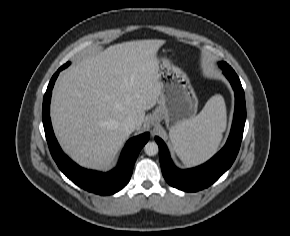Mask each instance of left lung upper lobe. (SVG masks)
<instances>
[{
  "label": "left lung upper lobe",
  "instance_id": "obj_1",
  "mask_svg": "<svg viewBox=\"0 0 290 236\" xmlns=\"http://www.w3.org/2000/svg\"><path fill=\"white\" fill-rule=\"evenodd\" d=\"M219 66H220L221 68H224V67H230L226 62H220V63H219Z\"/></svg>",
  "mask_w": 290,
  "mask_h": 236
}]
</instances>
